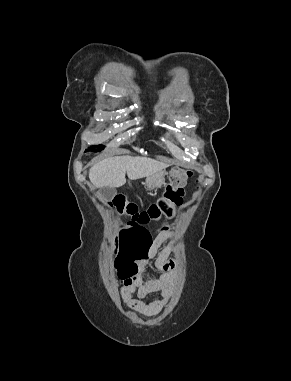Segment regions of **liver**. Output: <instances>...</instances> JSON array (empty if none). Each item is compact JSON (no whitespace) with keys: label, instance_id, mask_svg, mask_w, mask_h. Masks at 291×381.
Returning a JSON list of instances; mask_svg holds the SVG:
<instances>
[{"label":"liver","instance_id":"liver-1","mask_svg":"<svg viewBox=\"0 0 291 381\" xmlns=\"http://www.w3.org/2000/svg\"><path fill=\"white\" fill-rule=\"evenodd\" d=\"M168 164L147 157L114 156L105 158L89 171V179L96 188L120 187L130 180L152 176L163 171Z\"/></svg>","mask_w":291,"mask_h":381}]
</instances>
